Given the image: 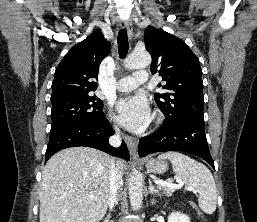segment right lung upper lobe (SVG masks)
I'll list each match as a JSON object with an SVG mask.
<instances>
[{"label":"right lung upper lobe","mask_w":257,"mask_h":222,"mask_svg":"<svg viewBox=\"0 0 257 222\" xmlns=\"http://www.w3.org/2000/svg\"><path fill=\"white\" fill-rule=\"evenodd\" d=\"M109 51L110 43L99 30L74 45L55 70L51 101L92 95L99 65Z\"/></svg>","instance_id":"1"}]
</instances>
